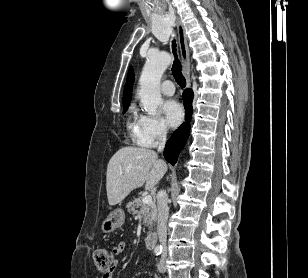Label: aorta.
<instances>
[{
	"instance_id": "aorta-1",
	"label": "aorta",
	"mask_w": 308,
	"mask_h": 278,
	"mask_svg": "<svg viewBox=\"0 0 308 278\" xmlns=\"http://www.w3.org/2000/svg\"><path fill=\"white\" fill-rule=\"evenodd\" d=\"M171 63V56L167 52L151 53L148 55L141 77L139 79V97L145 111L154 116L162 102L160 81L164 71Z\"/></svg>"
}]
</instances>
